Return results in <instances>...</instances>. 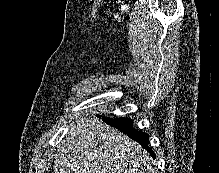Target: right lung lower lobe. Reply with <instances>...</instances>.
Here are the masks:
<instances>
[{
	"label": "right lung lower lobe",
	"instance_id": "1",
	"mask_svg": "<svg viewBox=\"0 0 219 173\" xmlns=\"http://www.w3.org/2000/svg\"><path fill=\"white\" fill-rule=\"evenodd\" d=\"M106 123L116 127L124 134L131 137L133 140L138 142L142 147L147 149L153 157H155L153 151L148 148L149 135L144 132H139L133 128V120L130 118H114V119H103Z\"/></svg>",
	"mask_w": 219,
	"mask_h": 173
}]
</instances>
